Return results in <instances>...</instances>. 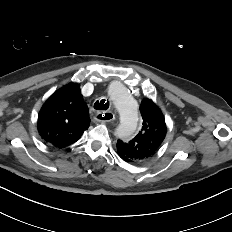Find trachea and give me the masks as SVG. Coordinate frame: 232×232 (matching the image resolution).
<instances>
[{
  "label": "trachea",
  "instance_id": "trachea-1",
  "mask_svg": "<svg viewBox=\"0 0 232 232\" xmlns=\"http://www.w3.org/2000/svg\"><path fill=\"white\" fill-rule=\"evenodd\" d=\"M109 108V102L105 99L96 101L94 104V109L96 110H107Z\"/></svg>",
  "mask_w": 232,
  "mask_h": 232
}]
</instances>
